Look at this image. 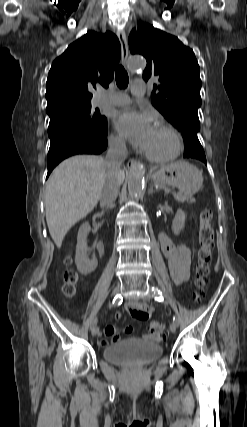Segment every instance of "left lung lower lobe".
<instances>
[{"mask_svg":"<svg viewBox=\"0 0 247 427\" xmlns=\"http://www.w3.org/2000/svg\"><path fill=\"white\" fill-rule=\"evenodd\" d=\"M181 133L185 139L184 157L197 159L207 164L205 153L198 140L197 133L188 130Z\"/></svg>","mask_w":247,"mask_h":427,"instance_id":"0a47b994","label":"left lung lower lobe"}]
</instances>
